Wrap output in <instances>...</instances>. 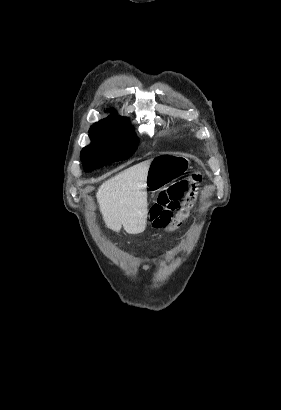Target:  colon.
<instances>
[{
	"instance_id": "obj_1",
	"label": "colon",
	"mask_w": 281,
	"mask_h": 410,
	"mask_svg": "<svg viewBox=\"0 0 281 410\" xmlns=\"http://www.w3.org/2000/svg\"><path fill=\"white\" fill-rule=\"evenodd\" d=\"M201 181L202 175L194 173L189 180L178 181L162 191L150 211L152 225L167 231L180 227L196 201Z\"/></svg>"
}]
</instances>
